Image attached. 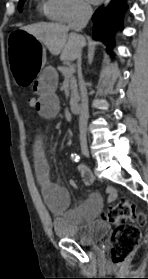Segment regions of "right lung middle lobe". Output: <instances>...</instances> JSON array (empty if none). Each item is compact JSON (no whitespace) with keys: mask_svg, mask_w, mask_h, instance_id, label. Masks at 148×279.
I'll return each mask as SVG.
<instances>
[{"mask_svg":"<svg viewBox=\"0 0 148 279\" xmlns=\"http://www.w3.org/2000/svg\"><path fill=\"white\" fill-rule=\"evenodd\" d=\"M25 0H20L19 2V6H18V9L21 10L22 6H23V3H24Z\"/></svg>","mask_w":148,"mask_h":279,"instance_id":"obj_1","label":"right lung middle lobe"}]
</instances>
